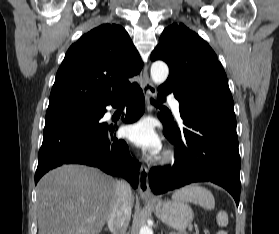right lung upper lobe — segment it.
I'll list each match as a JSON object with an SVG mask.
<instances>
[{"label": "right lung upper lobe", "instance_id": "1", "mask_svg": "<svg viewBox=\"0 0 279 234\" xmlns=\"http://www.w3.org/2000/svg\"><path fill=\"white\" fill-rule=\"evenodd\" d=\"M143 62L120 25L103 24L68 49L50 93L48 109L60 106L104 107L135 83Z\"/></svg>", "mask_w": 279, "mask_h": 234}]
</instances>
